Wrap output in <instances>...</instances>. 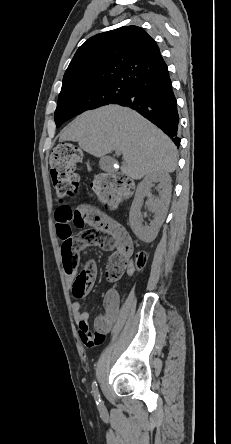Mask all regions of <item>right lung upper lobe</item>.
I'll list each match as a JSON object with an SVG mask.
<instances>
[{
    "label": "right lung upper lobe",
    "instance_id": "1",
    "mask_svg": "<svg viewBox=\"0 0 231 444\" xmlns=\"http://www.w3.org/2000/svg\"><path fill=\"white\" fill-rule=\"evenodd\" d=\"M166 69L153 38L138 26H124L97 34L79 47L64 74L61 92L110 83L131 86Z\"/></svg>",
    "mask_w": 231,
    "mask_h": 444
}]
</instances>
